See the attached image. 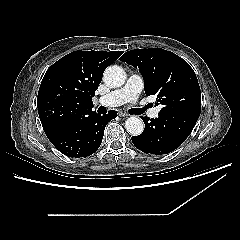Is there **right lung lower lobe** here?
<instances>
[{
  "mask_svg": "<svg viewBox=\"0 0 240 240\" xmlns=\"http://www.w3.org/2000/svg\"><path fill=\"white\" fill-rule=\"evenodd\" d=\"M115 111L108 114H91L64 130L48 137L50 142L64 155L69 157H87L100 146L105 126L116 118Z\"/></svg>",
  "mask_w": 240,
  "mask_h": 240,
  "instance_id": "obj_1",
  "label": "right lung lower lobe"
}]
</instances>
